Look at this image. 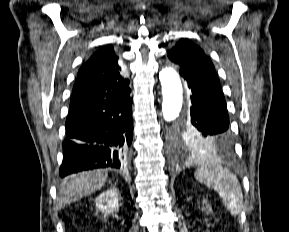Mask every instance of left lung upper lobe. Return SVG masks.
<instances>
[{"label":"left lung upper lobe","instance_id":"obj_1","mask_svg":"<svg viewBox=\"0 0 289 232\" xmlns=\"http://www.w3.org/2000/svg\"><path fill=\"white\" fill-rule=\"evenodd\" d=\"M170 62L180 68L204 73L216 81H219L212 62L197 45L180 40L175 47L168 52ZM174 145L176 148L187 151L213 150V143L200 137L191 126L178 123L173 131Z\"/></svg>","mask_w":289,"mask_h":232}]
</instances>
